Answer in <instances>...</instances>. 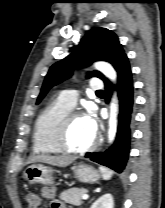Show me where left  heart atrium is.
Returning <instances> with one entry per match:
<instances>
[{
	"label": "left heart atrium",
	"mask_w": 165,
	"mask_h": 208,
	"mask_svg": "<svg viewBox=\"0 0 165 208\" xmlns=\"http://www.w3.org/2000/svg\"><path fill=\"white\" fill-rule=\"evenodd\" d=\"M87 126L91 133L95 136L97 132V120L92 113H89L85 116Z\"/></svg>",
	"instance_id": "left-heart-atrium-1"
}]
</instances>
